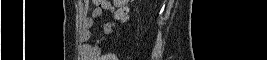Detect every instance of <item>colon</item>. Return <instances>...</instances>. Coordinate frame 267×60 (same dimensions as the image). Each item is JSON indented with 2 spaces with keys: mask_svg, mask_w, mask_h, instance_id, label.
Returning <instances> with one entry per match:
<instances>
[{
  "mask_svg": "<svg viewBox=\"0 0 267 60\" xmlns=\"http://www.w3.org/2000/svg\"><path fill=\"white\" fill-rule=\"evenodd\" d=\"M101 2V1H97ZM130 2L129 0H117L114 1V4L116 5L117 11H116V17L121 20L123 23H126L128 20V14H129V7L126 6V4Z\"/></svg>",
  "mask_w": 267,
  "mask_h": 60,
  "instance_id": "colon-1",
  "label": "colon"
}]
</instances>
